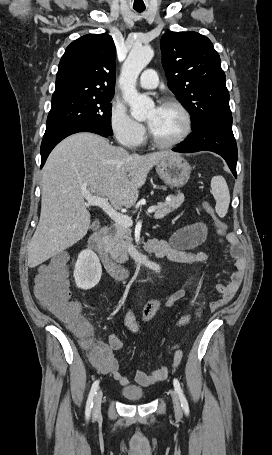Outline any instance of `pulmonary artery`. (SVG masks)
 <instances>
[{"label": "pulmonary artery", "mask_w": 272, "mask_h": 455, "mask_svg": "<svg viewBox=\"0 0 272 455\" xmlns=\"http://www.w3.org/2000/svg\"><path fill=\"white\" fill-rule=\"evenodd\" d=\"M158 85V76L154 69H146L140 79L139 86L143 89H154Z\"/></svg>", "instance_id": "1"}]
</instances>
